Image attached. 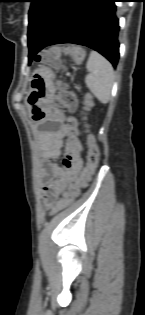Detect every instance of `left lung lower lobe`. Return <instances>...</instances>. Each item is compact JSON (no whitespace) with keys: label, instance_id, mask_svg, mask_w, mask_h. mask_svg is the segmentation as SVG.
<instances>
[{"label":"left lung lower lobe","instance_id":"1","mask_svg":"<svg viewBox=\"0 0 145 315\" xmlns=\"http://www.w3.org/2000/svg\"><path fill=\"white\" fill-rule=\"evenodd\" d=\"M116 1L73 0L42 41L28 37L29 63L37 60L36 54L46 46L74 43L94 49L116 67L120 29Z\"/></svg>","mask_w":145,"mask_h":315}]
</instances>
